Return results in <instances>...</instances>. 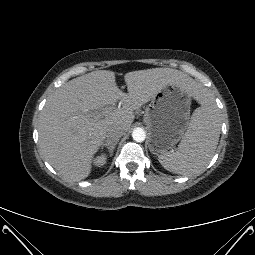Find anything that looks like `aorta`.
Segmentation results:
<instances>
[{
  "instance_id": "1",
  "label": "aorta",
  "mask_w": 255,
  "mask_h": 255,
  "mask_svg": "<svg viewBox=\"0 0 255 255\" xmlns=\"http://www.w3.org/2000/svg\"><path fill=\"white\" fill-rule=\"evenodd\" d=\"M132 138L136 142H143L146 138V133L142 128H135L132 132Z\"/></svg>"
}]
</instances>
